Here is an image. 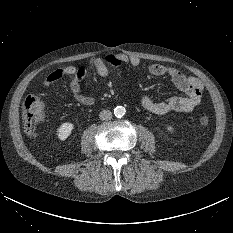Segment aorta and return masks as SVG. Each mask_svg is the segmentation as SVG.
I'll return each mask as SVG.
<instances>
[{
    "instance_id": "762f6f07",
    "label": "aorta",
    "mask_w": 233,
    "mask_h": 233,
    "mask_svg": "<svg viewBox=\"0 0 233 233\" xmlns=\"http://www.w3.org/2000/svg\"><path fill=\"white\" fill-rule=\"evenodd\" d=\"M126 114V109L125 107L123 106H117L115 109H114V115L118 118H121L123 117L124 115Z\"/></svg>"
}]
</instances>
